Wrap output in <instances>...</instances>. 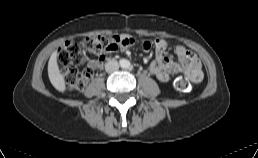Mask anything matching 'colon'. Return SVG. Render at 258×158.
<instances>
[{"mask_svg": "<svg viewBox=\"0 0 258 158\" xmlns=\"http://www.w3.org/2000/svg\"><path fill=\"white\" fill-rule=\"evenodd\" d=\"M135 40L131 37L110 36H86L79 43L75 41L66 42L58 51L61 63L60 72L67 88L73 92H82L88 80L92 77L90 69L78 70L77 66L85 62L84 52L90 55L106 56L120 49L121 46H132ZM178 90L188 93L192 91V83L187 78L176 81Z\"/></svg>", "mask_w": 258, "mask_h": 158, "instance_id": "5ec220e1", "label": "colon"}]
</instances>
